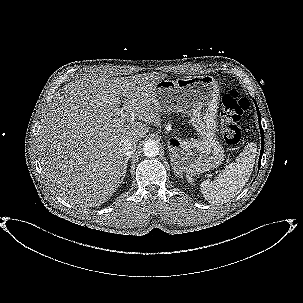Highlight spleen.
<instances>
[{
    "label": "spleen",
    "instance_id": "spleen-1",
    "mask_svg": "<svg viewBox=\"0 0 303 303\" xmlns=\"http://www.w3.org/2000/svg\"><path fill=\"white\" fill-rule=\"evenodd\" d=\"M256 153V145L249 143L235 162L230 163L214 181H203L200 189L204 198L213 205H219L227 203L240 193L251 176Z\"/></svg>",
    "mask_w": 303,
    "mask_h": 303
}]
</instances>
